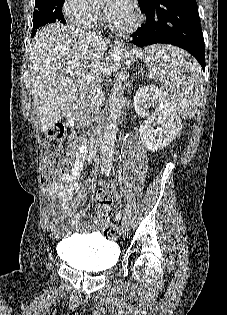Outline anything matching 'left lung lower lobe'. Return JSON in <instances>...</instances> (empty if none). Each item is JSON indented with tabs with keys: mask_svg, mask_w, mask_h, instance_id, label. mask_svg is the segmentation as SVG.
Returning <instances> with one entry per match:
<instances>
[{
	"mask_svg": "<svg viewBox=\"0 0 227 315\" xmlns=\"http://www.w3.org/2000/svg\"><path fill=\"white\" fill-rule=\"evenodd\" d=\"M141 11L146 15V23L133 34L135 46L165 43L181 47L205 71L204 38L196 0H155Z\"/></svg>",
	"mask_w": 227,
	"mask_h": 315,
	"instance_id": "1",
	"label": "left lung lower lobe"
}]
</instances>
